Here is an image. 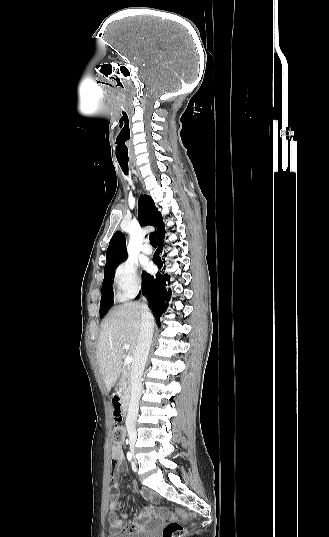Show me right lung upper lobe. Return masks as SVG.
<instances>
[{
	"mask_svg": "<svg viewBox=\"0 0 329 537\" xmlns=\"http://www.w3.org/2000/svg\"><path fill=\"white\" fill-rule=\"evenodd\" d=\"M139 219L142 225H152L156 227L155 235L158 238L165 233L163 218L156 208L153 199L148 195H141L139 198ZM126 256V240L122 232L117 231L112 236L107 252L106 264L108 266L121 262Z\"/></svg>",
	"mask_w": 329,
	"mask_h": 537,
	"instance_id": "cb5924a9",
	"label": "right lung upper lobe"
}]
</instances>
